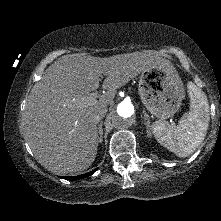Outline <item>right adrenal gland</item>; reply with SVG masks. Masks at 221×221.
<instances>
[{
  "label": "right adrenal gland",
  "instance_id": "2a0ac1e0",
  "mask_svg": "<svg viewBox=\"0 0 221 221\" xmlns=\"http://www.w3.org/2000/svg\"><path fill=\"white\" fill-rule=\"evenodd\" d=\"M103 122H100L98 125V133H99V142L101 143L103 141Z\"/></svg>",
  "mask_w": 221,
  "mask_h": 221
}]
</instances>
